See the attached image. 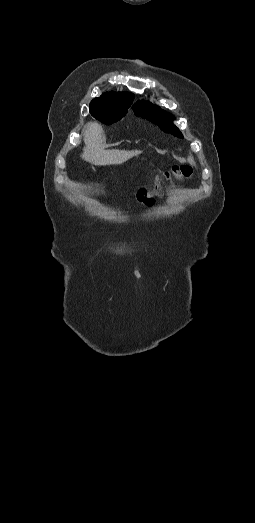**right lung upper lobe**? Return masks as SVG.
Instances as JSON below:
<instances>
[{"label":"right lung upper lobe","instance_id":"cb5924a9","mask_svg":"<svg viewBox=\"0 0 255 523\" xmlns=\"http://www.w3.org/2000/svg\"><path fill=\"white\" fill-rule=\"evenodd\" d=\"M134 95L128 92H107L101 95L99 98H95L91 101L90 106L99 104H110L119 102H130L133 101Z\"/></svg>","mask_w":255,"mask_h":523}]
</instances>
